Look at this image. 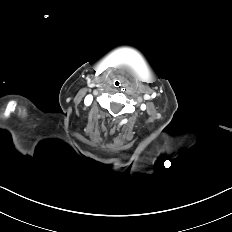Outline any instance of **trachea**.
I'll return each instance as SVG.
<instances>
[{
	"label": "trachea",
	"instance_id": "trachea-1",
	"mask_svg": "<svg viewBox=\"0 0 232 232\" xmlns=\"http://www.w3.org/2000/svg\"><path fill=\"white\" fill-rule=\"evenodd\" d=\"M113 86L115 88H120L122 86V82L120 80L116 79L113 81Z\"/></svg>",
	"mask_w": 232,
	"mask_h": 232
}]
</instances>
